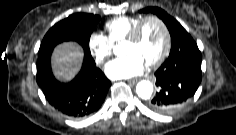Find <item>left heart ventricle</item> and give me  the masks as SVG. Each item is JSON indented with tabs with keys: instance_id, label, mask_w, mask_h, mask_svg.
Wrapping results in <instances>:
<instances>
[{
	"instance_id": "1",
	"label": "left heart ventricle",
	"mask_w": 236,
	"mask_h": 135,
	"mask_svg": "<svg viewBox=\"0 0 236 135\" xmlns=\"http://www.w3.org/2000/svg\"><path fill=\"white\" fill-rule=\"evenodd\" d=\"M164 46V33L161 26L154 20H148L143 25L139 38L135 43L123 45L124 54L135 53L147 64L154 61Z\"/></svg>"
}]
</instances>
